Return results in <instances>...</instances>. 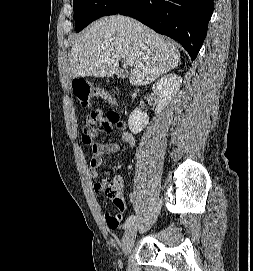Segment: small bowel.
<instances>
[{"mask_svg": "<svg viewBox=\"0 0 253 271\" xmlns=\"http://www.w3.org/2000/svg\"><path fill=\"white\" fill-rule=\"evenodd\" d=\"M114 128L121 131V138L125 145L130 148L135 146V138L128 130L125 121L120 118L118 120H113L110 115L105 118L100 111L91 112L87 116L81 139L85 145L92 149V154L89 160V169L94 178L99 176L98 169L102 164L103 156L115 154L121 148L120 144L116 142L96 143L94 138L97 136L99 131L110 132ZM114 181L121 183V178L117 177ZM94 188L96 191H99L97 183L94 185Z\"/></svg>", "mask_w": 253, "mask_h": 271, "instance_id": "small-bowel-1", "label": "small bowel"}]
</instances>
